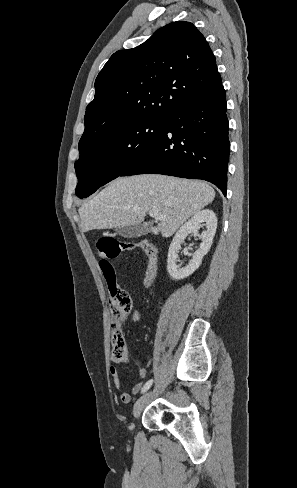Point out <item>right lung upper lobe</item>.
Listing matches in <instances>:
<instances>
[{
	"label": "right lung upper lobe",
	"mask_w": 297,
	"mask_h": 488,
	"mask_svg": "<svg viewBox=\"0 0 297 488\" xmlns=\"http://www.w3.org/2000/svg\"><path fill=\"white\" fill-rule=\"evenodd\" d=\"M219 83L204 36L190 22H172L143 44L110 57L96 78L80 141H94L143 119H168Z\"/></svg>",
	"instance_id": "right-lung-upper-lobe-1"
}]
</instances>
